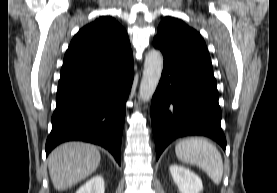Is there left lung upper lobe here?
<instances>
[{"mask_svg": "<svg viewBox=\"0 0 277 193\" xmlns=\"http://www.w3.org/2000/svg\"><path fill=\"white\" fill-rule=\"evenodd\" d=\"M153 45L161 50L163 56L172 60L212 67L201 35L179 19L165 17L158 27Z\"/></svg>", "mask_w": 277, "mask_h": 193, "instance_id": "5c2ea615", "label": "left lung upper lobe"}]
</instances>
